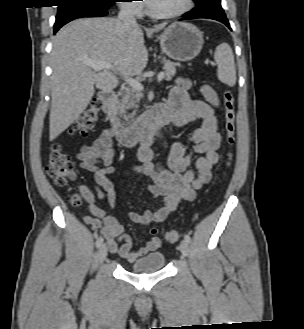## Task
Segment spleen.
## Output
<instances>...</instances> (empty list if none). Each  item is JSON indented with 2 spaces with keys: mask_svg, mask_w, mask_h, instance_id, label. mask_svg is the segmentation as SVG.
<instances>
[{
  "mask_svg": "<svg viewBox=\"0 0 304 329\" xmlns=\"http://www.w3.org/2000/svg\"><path fill=\"white\" fill-rule=\"evenodd\" d=\"M214 59L218 65V78L229 86L236 84V68L234 55L227 43H221L215 50Z\"/></svg>",
  "mask_w": 304,
  "mask_h": 329,
  "instance_id": "obj_1",
  "label": "spleen"
}]
</instances>
